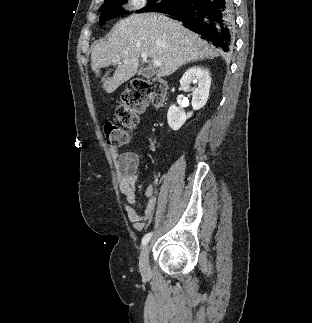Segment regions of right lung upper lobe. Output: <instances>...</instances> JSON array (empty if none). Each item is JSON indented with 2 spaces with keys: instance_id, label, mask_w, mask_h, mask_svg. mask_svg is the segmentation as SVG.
<instances>
[{
  "instance_id": "1",
  "label": "right lung upper lobe",
  "mask_w": 312,
  "mask_h": 323,
  "mask_svg": "<svg viewBox=\"0 0 312 323\" xmlns=\"http://www.w3.org/2000/svg\"><path fill=\"white\" fill-rule=\"evenodd\" d=\"M113 0H105V3L104 4H106V3H109V2H112ZM234 3V2H233ZM163 10V9H162ZM162 10H160V11H162ZM159 11V12H160ZM233 13H234V10H233Z\"/></svg>"
}]
</instances>
